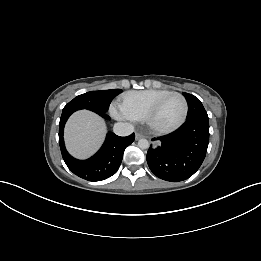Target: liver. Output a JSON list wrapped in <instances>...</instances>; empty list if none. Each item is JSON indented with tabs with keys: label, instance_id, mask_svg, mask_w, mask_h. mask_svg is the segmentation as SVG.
<instances>
[{
	"label": "liver",
	"instance_id": "1",
	"mask_svg": "<svg viewBox=\"0 0 261 261\" xmlns=\"http://www.w3.org/2000/svg\"><path fill=\"white\" fill-rule=\"evenodd\" d=\"M106 133L105 122L87 110L75 112L65 127V143L75 157L85 159L101 146Z\"/></svg>",
	"mask_w": 261,
	"mask_h": 261
}]
</instances>
